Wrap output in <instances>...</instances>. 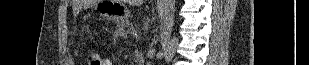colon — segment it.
<instances>
[{
  "instance_id": "1",
  "label": "colon",
  "mask_w": 309,
  "mask_h": 65,
  "mask_svg": "<svg viewBox=\"0 0 309 65\" xmlns=\"http://www.w3.org/2000/svg\"><path fill=\"white\" fill-rule=\"evenodd\" d=\"M85 61L87 65H103L104 58H102L99 52L94 48H88L85 51Z\"/></svg>"
}]
</instances>
